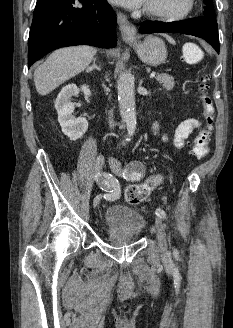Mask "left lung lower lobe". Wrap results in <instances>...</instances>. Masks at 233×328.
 Wrapping results in <instances>:
<instances>
[{
    "instance_id": "0a47b994",
    "label": "left lung lower lobe",
    "mask_w": 233,
    "mask_h": 328,
    "mask_svg": "<svg viewBox=\"0 0 233 328\" xmlns=\"http://www.w3.org/2000/svg\"><path fill=\"white\" fill-rule=\"evenodd\" d=\"M140 32H177L193 35L206 40L219 53L217 22L216 20L205 17L168 23L162 21H144L141 23Z\"/></svg>"
}]
</instances>
